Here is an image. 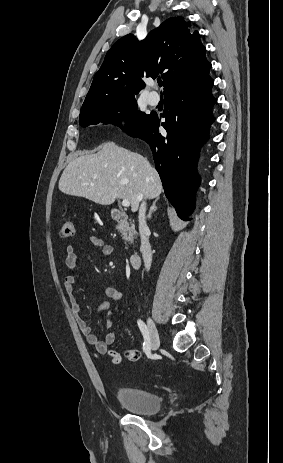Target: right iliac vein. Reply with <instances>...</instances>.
Here are the masks:
<instances>
[{"label":"right iliac vein","mask_w":283,"mask_h":463,"mask_svg":"<svg viewBox=\"0 0 283 463\" xmlns=\"http://www.w3.org/2000/svg\"><path fill=\"white\" fill-rule=\"evenodd\" d=\"M147 326H148L151 348L153 350H157L160 345V339H159V334H158L156 325L151 317L147 318Z\"/></svg>","instance_id":"obj_1"}]
</instances>
